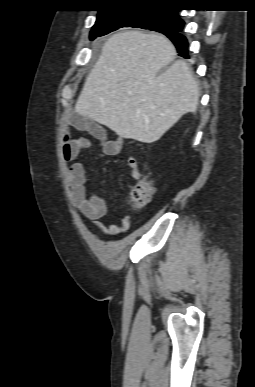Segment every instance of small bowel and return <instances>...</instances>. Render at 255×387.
<instances>
[{"instance_id": "small-bowel-1", "label": "small bowel", "mask_w": 255, "mask_h": 387, "mask_svg": "<svg viewBox=\"0 0 255 387\" xmlns=\"http://www.w3.org/2000/svg\"><path fill=\"white\" fill-rule=\"evenodd\" d=\"M71 129L89 132L102 142L104 154L109 156L118 155L123 147V140L120 137L108 139L105 130L90 118L76 114L67 120L62 138V152L66 161H73L79 155L80 151L89 147V141L86 138L73 137ZM126 163L130 168V177L133 180H139L141 173L137 160L132 156H127ZM69 196L74 206L91 220L94 226L107 236H115L124 233L130 228V218L124 215L120 225H104L99 220L107 214V203L98 194L89 192L86 187V166L81 162L73 163L69 169Z\"/></svg>"}]
</instances>
